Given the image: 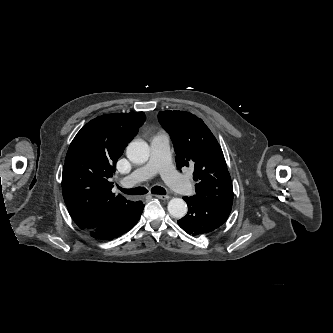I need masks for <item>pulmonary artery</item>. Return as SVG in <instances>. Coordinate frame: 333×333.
<instances>
[{
  "instance_id": "obj_1",
  "label": "pulmonary artery",
  "mask_w": 333,
  "mask_h": 333,
  "mask_svg": "<svg viewBox=\"0 0 333 333\" xmlns=\"http://www.w3.org/2000/svg\"><path fill=\"white\" fill-rule=\"evenodd\" d=\"M150 150L148 162L124 178L122 184L125 187H132L159 173L173 189L182 194L190 193L191 182L177 173L171 164L170 137L166 133L156 134L150 141Z\"/></svg>"
}]
</instances>
